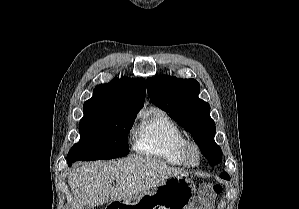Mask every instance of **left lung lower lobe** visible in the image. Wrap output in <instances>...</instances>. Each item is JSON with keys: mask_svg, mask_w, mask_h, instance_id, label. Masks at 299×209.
<instances>
[{"mask_svg": "<svg viewBox=\"0 0 299 209\" xmlns=\"http://www.w3.org/2000/svg\"><path fill=\"white\" fill-rule=\"evenodd\" d=\"M221 178L223 179H226V180H230V176L228 175V173L226 172H223L221 175H220Z\"/></svg>", "mask_w": 299, "mask_h": 209, "instance_id": "0a47b994", "label": "left lung lower lobe"}]
</instances>
